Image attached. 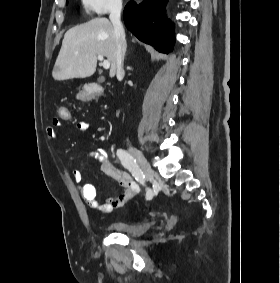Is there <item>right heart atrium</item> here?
I'll return each instance as SVG.
<instances>
[{
	"label": "right heart atrium",
	"instance_id": "d8ad5b80",
	"mask_svg": "<svg viewBox=\"0 0 280 283\" xmlns=\"http://www.w3.org/2000/svg\"><path fill=\"white\" fill-rule=\"evenodd\" d=\"M86 13L91 15H104L119 13L123 7V0H82Z\"/></svg>",
	"mask_w": 280,
	"mask_h": 283
}]
</instances>
